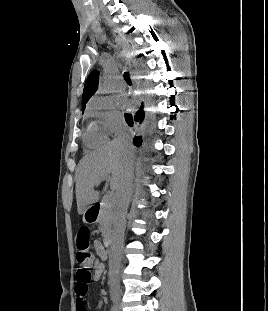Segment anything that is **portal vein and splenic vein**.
<instances>
[{"mask_svg":"<svg viewBox=\"0 0 268 311\" xmlns=\"http://www.w3.org/2000/svg\"><path fill=\"white\" fill-rule=\"evenodd\" d=\"M103 180L109 182V181H110V177H105ZM99 183H100V182H99ZM113 195H114V194H113V192H112L110 196L112 197Z\"/></svg>","mask_w":268,"mask_h":311,"instance_id":"portal-vein-and-splenic-vein-1","label":"portal vein and splenic vein"}]
</instances>
